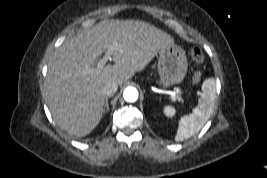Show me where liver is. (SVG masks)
Segmentation results:
<instances>
[{"mask_svg":"<svg viewBox=\"0 0 267 178\" xmlns=\"http://www.w3.org/2000/svg\"><path fill=\"white\" fill-rule=\"evenodd\" d=\"M113 44L114 65L98 69V58ZM171 44L169 34L135 20H104L64 41L49 62L45 80V98L56 124L70 135L89 134L102 118L104 85L123 84Z\"/></svg>","mask_w":267,"mask_h":178,"instance_id":"liver-1","label":"liver"}]
</instances>
